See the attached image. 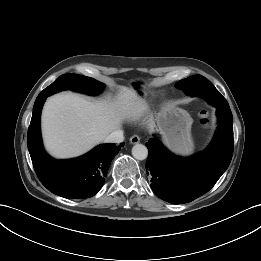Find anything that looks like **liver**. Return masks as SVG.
<instances>
[{
  "label": "liver",
  "instance_id": "liver-1",
  "mask_svg": "<svg viewBox=\"0 0 261 261\" xmlns=\"http://www.w3.org/2000/svg\"><path fill=\"white\" fill-rule=\"evenodd\" d=\"M142 103L131 88H122L115 101L92 102L74 93L51 96L42 111L44 145L56 158L80 156L120 129L125 119L138 115ZM148 126L152 131L151 118Z\"/></svg>",
  "mask_w": 261,
  "mask_h": 261
}]
</instances>
